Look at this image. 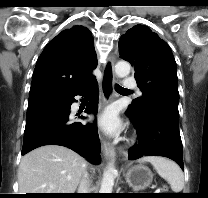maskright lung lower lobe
<instances>
[{
  "mask_svg": "<svg viewBox=\"0 0 208 198\" xmlns=\"http://www.w3.org/2000/svg\"><path fill=\"white\" fill-rule=\"evenodd\" d=\"M91 93L93 97L87 104L85 113L96 114L98 83L95 77L70 96L28 106L21 154L25 155L43 145H62L71 148L91 163L99 164L101 147L96 123L73 122L70 113L76 95L87 96Z\"/></svg>",
  "mask_w": 208,
  "mask_h": 198,
  "instance_id": "obj_1",
  "label": "right lung lower lobe"
}]
</instances>
